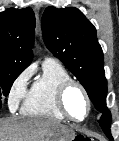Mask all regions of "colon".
<instances>
[{
	"instance_id": "5ec220e1",
	"label": "colon",
	"mask_w": 119,
	"mask_h": 141,
	"mask_svg": "<svg viewBox=\"0 0 119 141\" xmlns=\"http://www.w3.org/2000/svg\"><path fill=\"white\" fill-rule=\"evenodd\" d=\"M73 141H89V139L84 137L83 135H77Z\"/></svg>"
}]
</instances>
